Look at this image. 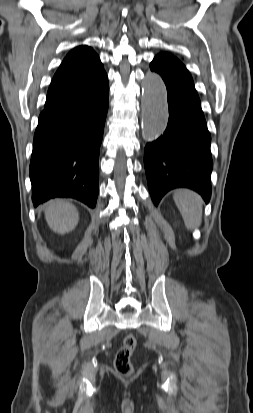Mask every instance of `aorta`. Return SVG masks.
Here are the masks:
<instances>
[{"instance_id": "1", "label": "aorta", "mask_w": 253, "mask_h": 413, "mask_svg": "<svg viewBox=\"0 0 253 413\" xmlns=\"http://www.w3.org/2000/svg\"><path fill=\"white\" fill-rule=\"evenodd\" d=\"M142 89V136L146 141H154L167 126V90L157 74H148L142 83Z\"/></svg>"}]
</instances>
